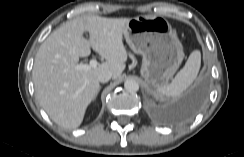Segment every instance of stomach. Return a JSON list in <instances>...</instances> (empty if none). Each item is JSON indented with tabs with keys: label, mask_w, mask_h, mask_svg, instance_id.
<instances>
[{
	"label": "stomach",
	"mask_w": 244,
	"mask_h": 157,
	"mask_svg": "<svg viewBox=\"0 0 244 157\" xmlns=\"http://www.w3.org/2000/svg\"><path fill=\"white\" fill-rule=\"evenodd\" d=\"M124 36L131 50L142 55L140 73L154 88L167 85L184 58L183 46L169 22L160 16L130 19Z\"/></svg>",
	"instance_id": "1"
}]
</instances>
